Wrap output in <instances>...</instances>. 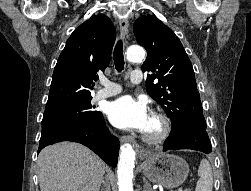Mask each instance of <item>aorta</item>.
<instances>
[{
    "instance_id": "aorta-1",
    "label": "aorta",
    "mask_w": 251,
    "mask_h": 191,
    "mask_svg": "<svg viewBox=\"0 0 251 191\" xmlns=\"http://www.w3.org/2000/svg\"><path fill=\"white\" fill-rule=\"evenodd\" d=\"M146 56L145 50L140 46H130L127 48L126 58L129 62H143ZM136 151L132 145L125 143L121 147V153L118 161L117 177L119 191H133V167L135 163Z\"/></svg>"
}]
</instances>
